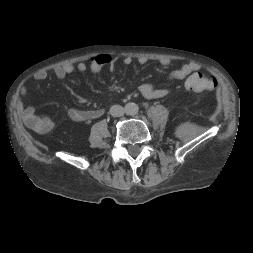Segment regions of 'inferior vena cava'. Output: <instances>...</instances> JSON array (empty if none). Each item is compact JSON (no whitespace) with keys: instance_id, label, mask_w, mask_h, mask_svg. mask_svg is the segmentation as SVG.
Segmentation results:
<instances>
[{"instance_id":"inferior-vena-cava-1","label":"inferior vena cava","mask_w":253,"mask_h":253,"mask_svg":"<svg viewBox=\"0 0 253 253\" xmlns=\"http://www.w3.org/2000/svg\"><path fill=\"white\" fill-rule=\"evenodd\" d=\"M125 113V108L120 105H113L110 108V114L114 117L122 116Z\"/></svg>"}]
</instances>
